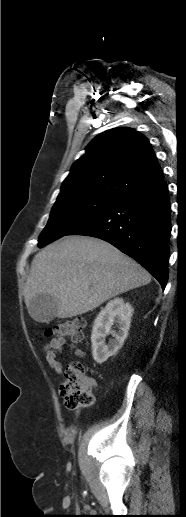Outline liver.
Masks as SVG:
<instances>
[{"mask_svg": "<svg viewBox=\"0 0 186 517\" xmlns=\"http://www.w3.org/2000/svg\"><path fill=\"white\" fill-rule=\"evenodd\" d=\"M150 281L146 269L108 242L67 236L35 255L24 300L28 308L35 296L50 295L58 305L55 316L71 318Z\"/></svg>", "mask_w": 186, "mask_h": 517, "instance_id": "1", "label": "liver"}]
</instances>
